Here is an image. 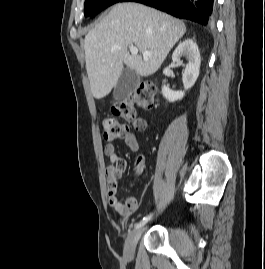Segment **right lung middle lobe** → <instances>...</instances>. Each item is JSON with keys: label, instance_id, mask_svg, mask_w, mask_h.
Masks as SVG:
<instances>
[{"label": "right lung middle lobe", "instance_id": "obj_1", "mask_svg": "<svg viewBox=\"0 0 265 269\" xmlns=\"http://www.w3.org/2000/svg\"><path fill=\"white\" fill-rule=\"evenodd\" d=\"M125 0H85V16L93 17L103 9Z\"/></svg>", "mask_w": 265, "mask_h": 269}]
</instances>
